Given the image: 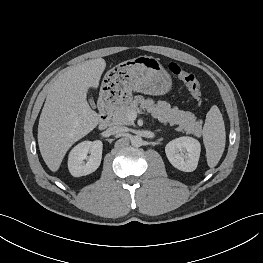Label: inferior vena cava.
Returning <instances> with one entry per match:
<instances>
[{"instance_id":"1","label":"inferior vena cava","mask_w":263,"mask_h":263,"mask_svg":"<svg viewBox=\"0 0 263 263\" xmlns=\"http://www.w3.org/2000/svg\"><path fill=\"white\" fill-rule=\"evenodd\" d=\"M126 130H127L126 127L115 125V126L109 127L106 131L110 135H118V134H122L126 132Z\"/></svg>"}]
</instances>
